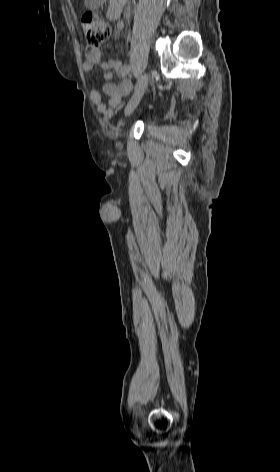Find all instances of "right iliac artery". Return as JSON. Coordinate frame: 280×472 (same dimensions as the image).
Here are the masks:
<instances>
[{
    "label": "right iliac artery",
    "mask_w": 280,
    "mask_h": 472,
    "mask_svg": "<svg viewBox=\"0 0 280 472\" xmlns=\"http://www.w3.org/2000/svg\"><path fill=\"white\" fill-rule=\"evenodd\" d=\"M130 72H131V66L125 65L122 67L120 71V75L122 78H126V76L130 75Z\"/></svg>",
    "instance_id": "1"
}]
</instances>
